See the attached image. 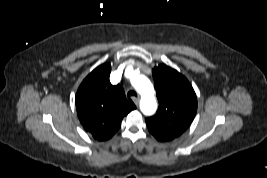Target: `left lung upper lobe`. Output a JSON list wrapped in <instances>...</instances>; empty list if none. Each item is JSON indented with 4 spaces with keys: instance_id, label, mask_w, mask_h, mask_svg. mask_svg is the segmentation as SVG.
Returning <instances> with one entry per match:
<instances>
[{
    "instance_id": "1",
    "label": "left lung upper lobe",
    "mask_w": 267,
    "mask_h": 178,
    "mask_svg": "<svg viewBox=\"0 0 267 178\" xmlns=\"http://www.w3.org/2000/svg\"><path fill=\"white\" fill-rule=\"evenodd\" d=\"M152 75L159 108L146 119V124L158 141L168 142L192 123L197 110L196 94L181 73L165 64L154 67Z\"/></svg>"
}]
</instances>
